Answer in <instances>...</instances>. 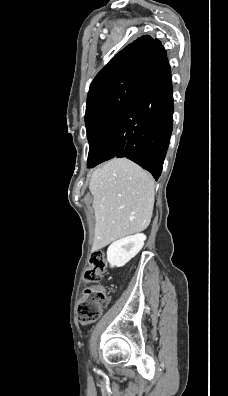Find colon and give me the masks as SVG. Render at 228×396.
Instances as JSON below:
<instances>
[{
    "mask_svg": "<svg viewBox=\"0 0 228 396\" xmlns=\"http://www.w3.org/2000/svg\"><path fill=\"white\" fill-rule=\"evenodd\" d=\"M106 269L105 256L100 251L93 252L88 264L83 272L85 283H98ZM107 304V293L103 287L93 285L88 287L78 304V319L83 324L94 322L101 315L102 310Z\"/></svg>",
    "mask_w": 228,
    "mask_h": 396,
    "instance_id": "5ec220e1",
    "label": "colon"
}]
</instances>
